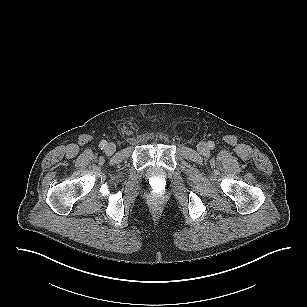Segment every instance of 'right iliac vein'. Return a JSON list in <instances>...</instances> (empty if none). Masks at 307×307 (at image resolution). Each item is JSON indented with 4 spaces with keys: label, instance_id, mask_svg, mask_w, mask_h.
<instances>
[{
    "label": "right iliac vein",
    "instance_id": "obj_1",
    "mask_svg": "<svg viewBox=\"0 0 307 307\" xmlns=\"http://www.w3.org/2000/svg\"><path fill=\"white\" fill-rule=\"evenodd\" d=\"M116 151V145L114 143H108L105 146V153L107 155H112Z\"/></svg>",
    "mask_w": 307,
    "mask_h": 307
}]
</instances>
